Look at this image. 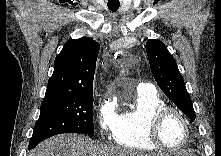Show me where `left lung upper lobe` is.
I'll return each instance as SVG.
<instances>
[{"instance_id":"obj_1","label":"left lung upper lobe","mask_w":221,"mask_h":156,"mask_svg":"<svg viewBox=\"0 0 221 156\" xmlns=\"http://www.w3.org/2000/svg\"><path fill=\"white\" fill-rule=\"evenodd\" d=\"M146 51L157 84L192 123L195 120V111L174 57L164 43L156 39L147 41Z\"/></svg>"}]
</instances>
